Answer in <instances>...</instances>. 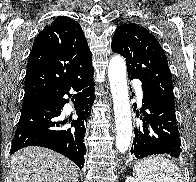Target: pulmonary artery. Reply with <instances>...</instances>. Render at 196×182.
Returning a JSON list of instances; mask_svg holds the SVG:
<instances>
[{"label":"pulmonary artery","mask_w":196,"mask_h":182,"mask_svg":"<svg viewBox=\"0 0 196 182\" xmlns=\"http://www.w3.org/2000/svg\"><path fill=\"white\" fill-rule=\"evenodd\" d=\"M137 94H138V98L141 99L142 98V93H141L140 90L137 91Z\"/></svg>","instance_id":"e3ab8cb5"}]
</instances>
